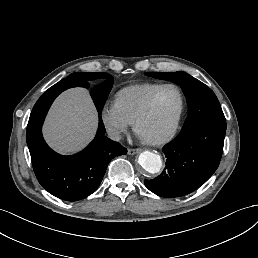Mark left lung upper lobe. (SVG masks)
<instances>
[{
    "label": "left lung upper lobe",
    "mask_w": 258,
    "mask_h": 258,
    "mask_svg": "<svg viewBox=\"0 0 258 258\" xmlns=\"http://www.w3.org/2000/svg\"><path fill=\"white\" fill-rule=\"evenodd\" d=\"M146 75L169 80L179 85L189 105L188 116L179 135L203 126L226 129V119L214 92L205 84L185 72H147Z\"/></svg>",
    "instance_id": "1"
}]
</instances>
